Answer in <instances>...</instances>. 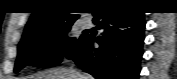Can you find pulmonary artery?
<instances>
[{"instance_id": "obj_1", "label": "pulmonary artery", "mask_w": 177, "mask_h": 79, "mask_svg": "<svg viewBox=\"0 0 177 79\" xmlns=\"http://www.w3.org/2000/svg\"><path fill=\"white\" fill-rule=\"evenodd\" d=\"M90 25H91V19L87 18V17L83 18V20H82V27L83 28H87Z\"/></svg>"}]
</instances>
